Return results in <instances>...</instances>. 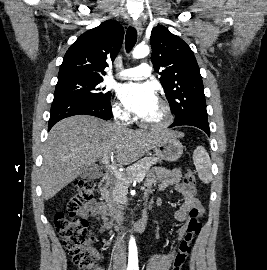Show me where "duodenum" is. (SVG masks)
<instances>
[{"instance_id": "obj_1", "label": "duodenum", "mask_w": 267, "mask_h": 270, "mask_svg": "<svg viewBox=\"0 0 267 270\" xmlns=\"http://www.w3.org/2000/svg\"><path fill=\"white\" fill-rule=\"evenodd\" d=\"M109 184H110V175L108 173H105L99 182V195L101 199L104 201V205L106 209L109 211L111 217L121 227H132L137 230H144L148 223L147 206L145 205L142 216L139 219L128 222L125 219L122 210L109 201L108 196H107V189H108ZM147 201H148V198L145 197L144 198L145 204L147 203Z\"/></svg>"}]
</instances>
